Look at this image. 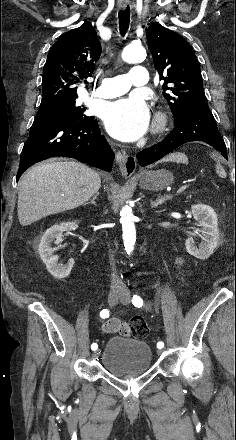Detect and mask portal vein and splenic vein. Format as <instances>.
I'll return each instance as SVG.
<instances>
[{"mask_svg":"<svg viewBox=\"0 0 236 440\" xmlns=\"http://www.w3.org/2000/svg\"><path fill=\"white\" fill-rule=\"evenodd\" d=\"M188 185H184L181 188L178 189L177 194H180L181 192H183L185 189H187Z\"/></svg>","mask_w":236,"mask_h":440,"instance_id":"18ae733b","label":"portal vein and splenic vein"}]
</instances>
